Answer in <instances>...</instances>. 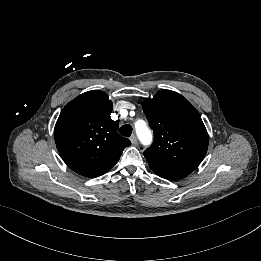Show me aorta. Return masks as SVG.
<instances>
[{"instance_id": "1", "label": "aorta", "mask_w": 261, "mask_h": 261, "mask_svg": "<svg viewBox=\"0 0 261 261\" xmlns=\"http://www.w3.org/2000/svg\"><path fill=\"white\" fill-rule=\"evenodd\" d=\"M136 133L140 139V141L144 145H149L152 141L151 131L148 129L144 121H138L135 124Z\"/></svg>"}]
</instances>
